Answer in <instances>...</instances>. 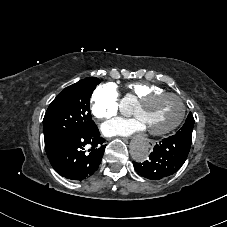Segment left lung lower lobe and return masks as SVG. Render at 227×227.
<instances>
[{"label":"left lung lower lobe","mask_w":227,"mask_h":227,"mask_svg":"<svg viewBox=\"0 0 227 227\" xmlns=\"http://www.w3.org/2000/svg\"><path fill=\"white\" fill-rule=\"evenodd\" d=\"M192 138L170 136L154 146L149 159L143 163L133 162L142 176L160 180L174 174L184 164L190 151Z\"/></svg>","instance_id":"left-lung-lower-lobe-1"}]
</instances>
